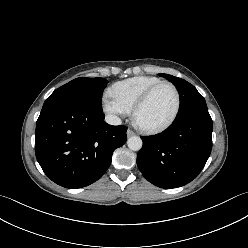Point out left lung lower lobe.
<instances>
[{"mask_svg": "<svg viewBox=\"0 0 248 248\" xmlns=\"http://www.w3.org/2000/svg\"><path fill=\"white\" fill-rule=\"evenodd\" d=\"M213 123L206 104L177 117L155 137H141L137 165L143 176L161 188L181 187L203 169L212 149Z\"/></svg>", "mask_w": 248, "mask_h": 248, "instance_id": "1", "label": "left lung lower lobe"}]
</instances>
